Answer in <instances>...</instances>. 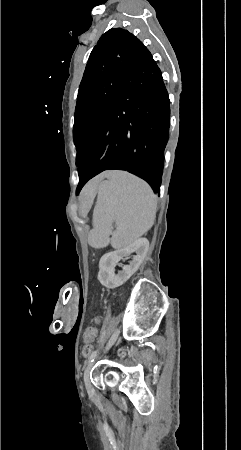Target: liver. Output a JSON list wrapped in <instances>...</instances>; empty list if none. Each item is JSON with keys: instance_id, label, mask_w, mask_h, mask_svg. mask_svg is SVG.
<instances>
[{"instance_id": "obj_1", "label": "liver", "mask_w": 241, "mask_h": 450, "mask_svg": "<svg viewBox=\"0 0 241 450\" xmlns=\"http://www.w3.org/2000/svg\"><path fill=\"white\" fill-rule=\"evenodd\" d=\"M109 174H111V172H103V174H99V176L93 178V184H95V186H99V184H101V180H104V178H108Z\"/></svg>"}]
</instances>
